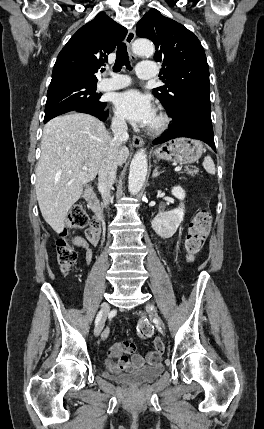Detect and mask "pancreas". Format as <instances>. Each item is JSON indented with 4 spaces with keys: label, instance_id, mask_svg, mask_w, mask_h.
I'll list each match as a JSON object with an SVG mask.
<instances>
[{
    "label": "pancreas",
    "instance_id": "obj_1",
    "mask_svg": "<svg viewBox=\"0 0 264 429\" xmlns=\"http://www.w3.org/2000/svg\"><path fill=\"white\" fill-rule=\"evenodd\" d=\"M187 174L191 175V176H195L198 173V169L195 170H190V169H186Z\"/></svg>",
    "mask_w": 264,
    "mask_h": 429
}]
</instances>
